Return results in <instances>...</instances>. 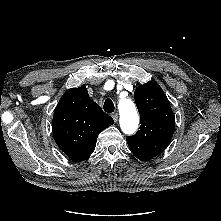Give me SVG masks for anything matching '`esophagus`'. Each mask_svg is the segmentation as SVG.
<instances>
[{
  "label": "esophagus",
  "mask_w": 221,
  "mask_h": 221,
  "mask_svg": "<svg viewBox=\"0 0 221 221\" xmlns=\"http://www.w3.org/2000/svg\"><path fill=\"white\" fill-rule=\"evenodd\" d=\"M112 118L114 119V121L115 122H117L118 121V113L117 112H115V113H112Z\"/></svg>",
  "instance_id": "34e87169"
}]
</instances>
